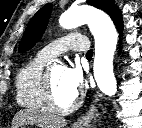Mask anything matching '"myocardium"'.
Wrapping results in <instances>:
<instances>
[{
  "label": "myocardium",
  "mask_w": 142,
  "mask_h": 128,
  "mask_svg": "<svg viewBox=\"0 0 142 128\" xmlns=\"http://www.w3.org/2000/svg\"><path fill=\"white\" fill-rule=\"evenodd\" d=\"M44 100L47 108L56 114H68L74 111L80 105V98L78 96L75 97L73 102L67 107H60L57 105L54 97V91L52 86V79L50 70L46 71L45 75V87H44Z\"/></svg>",
  "instance_id": "f54148a6"
}]
</instances>
